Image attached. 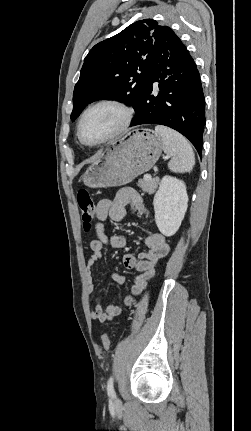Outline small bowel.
Returning a JSON list of instances; mask_svg holds the SVG:
<instances>
[{"mask_svg":"<svg viewBox=\"0 0 251 431\" xmlns=\"http://www.w3.org/2000/svg\"><path fill=\"white\" fill-rule=\"evenodd\" d=\"M127 207L140 216H149V210L140 195L131 188H123L118 191L114 199H103L99 201L96 208L98 222L96 224L97 237L90 242L92 254L87 262V282L88 293L91 295L94 290L91 270L103 257V250L109 248H125L126 239L122 235H107L104 230V221H121L127 213ZM146 251L140 253L138 257L126 254L123 258L124 265L130 269H136L139 274L135 277L131 286V295L123 300V305H109L104 310L100 304H96L91 310V318L101 323L111 320L122 314L127 307L135 302V296L140 295L146 288L148 281L154 276L160 261L164 259L170 251V245L166 236L160 232H155L144 236ZM111 279L117 284H124L125 277L117 272L110 274Z\"/></svg>","mask_w":251,"mask_h":431,"instance_id":"small-bowel-1","label":"small bowel"}]
</instances>
